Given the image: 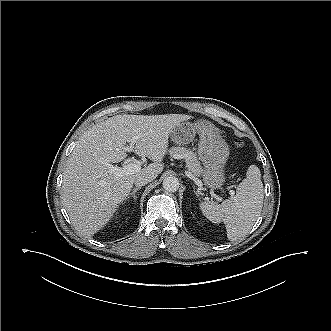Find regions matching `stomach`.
<instances>
[{
  "mask_svg": "<svg viewBox=\"0 0 331 331\" xmlns=\"http://www.w3.org/2000/svg\"><path fill=\"white\" fill-rule=\"evenodd\" d=\"M194 126L190 122L180 123L171 133V140L177 144H187L193 140ZM197 153L203 163L201 172L205 186L219 189L225 182L224 165L229 156L225 140L212 130L200 134Z\"/></svg>",
  "mask_w": 331,
  "mask_h": 331,
  "instance_id": "stomach-1",
  "label": "stomach"
}]
</instances>
